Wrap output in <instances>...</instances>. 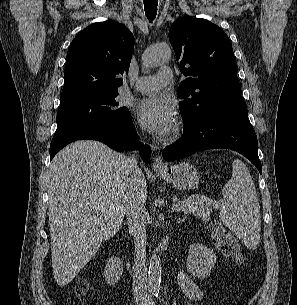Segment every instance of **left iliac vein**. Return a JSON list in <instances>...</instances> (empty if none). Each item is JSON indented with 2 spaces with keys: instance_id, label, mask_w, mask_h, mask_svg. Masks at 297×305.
Wrapping results in <instances>:
<instances>
[{
  "instance_id": "left-iliac-vein-1",
  "label": "left iliac vein",
  "mask_w": 297,
  "mask_h": 305,
  "mask_svg": "<svg viewBox=\"0 0 297 305\" xmlns=\"http://www.w3.org/2000/svg\"><path fill=\"white\" fill-rule=\"evenodd\" d=\"M147 305H154L153 303H149V304H147Z\"/></svg>"
}]
</instances>
